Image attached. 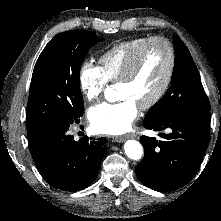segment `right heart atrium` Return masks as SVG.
<instances>
[{"label": "right heart atrium", "instance_id": "d8ad5b80", "mask_svg": "<svg viewBox=\"0 0 221 221\" xmlns=\"http://www.w3.org/2000/svg\"><path fill=\"white\" fill-rule=\"evenodd\" d=\"M108 82L101 67L94 65L91 61H85L82 64L79 73V84L85 100L88 102L98 100L102 96Z\"/></svg>", "mask_w": 221, "mask_h": 221}]
</instances>
